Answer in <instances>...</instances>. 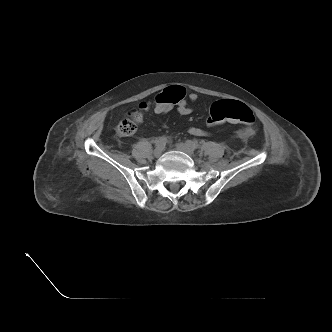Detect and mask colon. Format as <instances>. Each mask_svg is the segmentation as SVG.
<instances>
[{"mask_svg":"<svg viewBox=\"0 0 332 332\" xmlns=\"http://www.w3.org/2000/svg\"><path fill=\"white\" fill-rule=\"evenodd\" d=\"M185 96V91L180 86H171L164 89L157 97V103L174 104ZM149 104L143 102L140 109H147ZM140 120V113L137 110L131 112L130 118L123 119L117 129L123 136H130L137 130V123ZM255 121L252 110L242 102L234 100H218L210 108L207 125L216 126L224 122L253 124Z\"/></svg>","mask_w":332,"mask_h":332,"instance_id":"obj_1","label":"colon"}]
</instances>
